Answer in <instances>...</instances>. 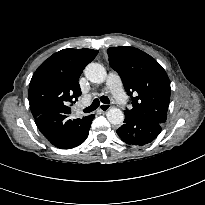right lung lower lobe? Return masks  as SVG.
I'll use <instances>...</instances> for the list:
<instances>
[{
  "label": "right lung lower lobe",
  "instance_id": "1",
  "mask_svg": "<svg viewBox=\"0 0 205 205\" xmlns=\"http://www.w3.org/2000/svg\"><path fill=\"white\" fill-rule=\"evenodd\" d=\"M94 117L95 115H89L83 119L71 120L66 114L50 110L35 118V123L54 146L70 149L85 141Z\"/></svg>",
  "mask_w": 205,
  "mask_h": 205
}]
</instances>
